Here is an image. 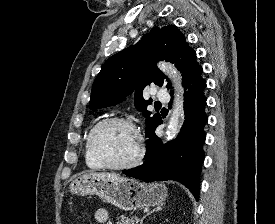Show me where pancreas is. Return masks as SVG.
Here are the masks:
<instances>
[{
	"instance_id": "cf45deb5",
	"label": "pancreas",
	"mask_w": 275,
	"mask_h": 224,
	"mask_svg": "<svg viewBox=\"0 0 275 224\" xmlns=\"http://www.w3.org/2000/svg\"><path fill=\"white\" fill-rule=\"evenodd\" d=\"M116 224H134V218L120 217Z\"/></svg>"
}]
</instances>
